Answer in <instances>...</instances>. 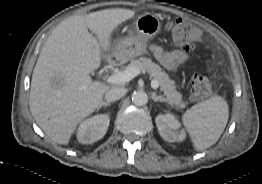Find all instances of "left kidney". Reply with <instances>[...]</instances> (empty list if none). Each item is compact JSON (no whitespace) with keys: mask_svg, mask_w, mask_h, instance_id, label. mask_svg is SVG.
<instances>
[{"mask_svg":"<svg viewBox=\"0 0 262 184\" xmlns=\"http://www.w3.org/2000/svg\"><path fill=\"white\" fill-rule=\"evenodd\" d=\"M161 137L168 142L183 141L186 137L185 131L178 129L181 127L179 121L172 115H158L155 119Z\"/></svg>","mask_w":262,"mask_h":184,"instance_id":"left-kidney-1","label":"left kidney"}]
</instances>
